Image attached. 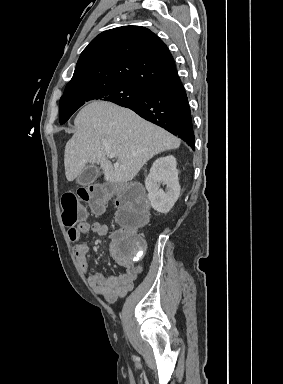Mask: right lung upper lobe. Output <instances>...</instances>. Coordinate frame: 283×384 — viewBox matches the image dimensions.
Returning a JSON list of instances; mask_svg holds the SVG:
<instances>
[{"label": "right lung upper lobe", "instance_id": "right-lung-upper-lobe-1", "mask_svg": "<svg viewBox=\"0 0 283 384\" xmlns=\"http://www.w3.org/2000/svg\"><path fill=\"white\" fill-rule=\"evenodd\" d=\"M176 74L174 59L158 36L144 27L123 26L90 42L66 88L117 81L148 89Z\"/></svg>", "mask_w": 283, "mask_h": 384}]
</instances>
